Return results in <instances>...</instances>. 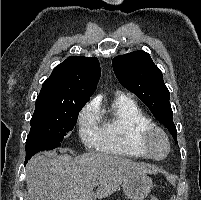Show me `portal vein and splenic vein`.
<instances>
[{
  "label": "portal vein and splenic vein",
  "instance_id": "18ae733b",
  "mask_svg": "<svg viewBox=\"0 0 201 200\" xmlns=\"http://www.w3.org/2000/svg\"><path fill=\"white\" fill-rule=\"evenodd\" d=\"M97 185H98L97 182H95V181L92 182V186H93V187H94V186H97Z\"/></svg>",
  "mask_w": 201,
  "mask_h": 200
}]
</instances>
